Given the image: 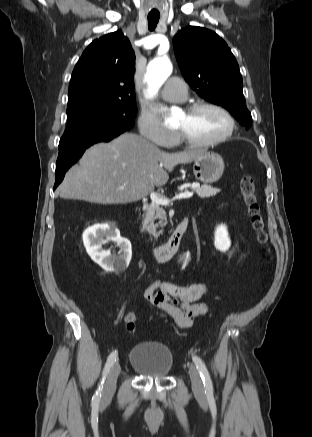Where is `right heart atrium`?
<instances>
[{
    "label": "right heart atrium",
    "instance_id": "1",
    "mask_svg": "<svg viewBox=\"0 0 312 437\" xmlns=\"http://www.w3.org/2000/svg\"><path fill=\"white\" fill-rule=\"evenodd\" d=\"M138 128L145 139L162 147L173 145L177 138V134L167 129L159 117L150 111L141 112L138 119Z\"/></svg>",
    "mask_w": 312,
    "mask_h": 437
}]
</instances>
